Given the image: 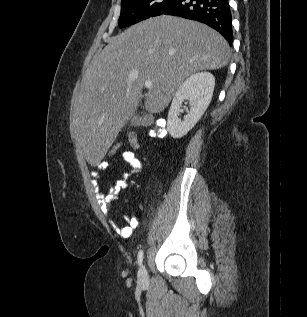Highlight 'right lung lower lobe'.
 Wrapping results in <instances>:
<instances>
[{"mask_svg": "<svg viewBox=\"0 0 307 317\" xmlns=\"http://www.w3.org/2000/svg\"><path fill=\"white\" fill-rule=\"evenodd\" d=\"M163 14L205 23L232 44V19L228 0H175Z\"/></svg>", "mask_w": 307, "mask_h": 317, "instance_id": "right-lung-lower-lobe-1", "label": "right lung lower lobe"}]
</instances>
